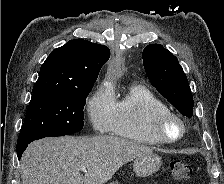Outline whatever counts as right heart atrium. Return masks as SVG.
I'll return each instance as SVG.
<instances>
[{
	"mask_svg": "<svg viewBox=\"0 0 224 184\" xmlns=\"http://www.w3.org/2000/svg\"><path fill=\"white\" fill-rule=\"evenodd\" d=\"M114 103V94L106 85L98 87L89 97L86 105L87 116L97 132L110 130Z\"/></svg>",
	"mask_w": 224,
	"mask_h": 184,
	"instance_id": "1",
	"label": "right heart atrium"
}]
</instances>
